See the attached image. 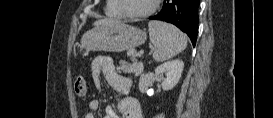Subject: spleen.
<instances>
[{
	"label": "spleen",
	"instance_id": "obj_1",
	"mask_svg": "<svg viewBox=\"0 0 273 118\" xmlns=\"http://www.w3.org/2000/svg\"><path fill=\"white\" fill-rule=\"evenodd\" d=\"M148 27L155 61H166L186 48V36L173 25L160 21H150Z\"/></svg>",
	"mask_w": 273,
	"mask_h": 118
}]
</instances>
